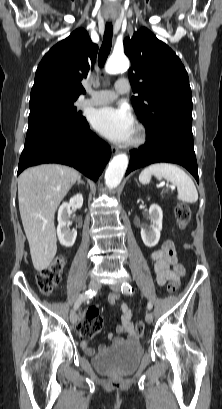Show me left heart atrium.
Listing matches in <instances>:
<instances>
[{
    "mask_svg": "<svg viewBox=\"0 0 222 409\" xmlns=\"http://www.w3.org/2000/svg\"><path fill=\"white\" fill-rule=\"evenodd\" d=\"M90 123L101 135L118 144L130 142L135 134L134 118L125 107L96 109L90 115Z\"/></svg>",
    "mask_w": 222,
    "mask_h": 409,
    "instance_id": "obj_1",
    "label": "left heart atrium"
}]
</instances>
